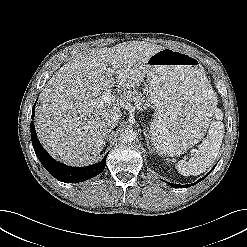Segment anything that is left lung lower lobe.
<instances>
[{"instance_id":"0a47b994","label":"left lung lower lobe","mask_w":247,"mask_h":247,"mask_svg":"<svg viewBox=\"0 0 247 247\" xmlns=\"http://www.w3.org/2000/svg\"><path fill=\"white\" fill-rule=\"evenodd\" d=\"M215 168V166L211 169V171L213 170ZM210 171V172H211ZM209 172V173H210ZM208 173V174H209ZM207 174V175H208ZM206 175V176H207ZM206 176H204L203 178H201L200 180H198L197 182H195V183H193V184H188V185H178V184H172V183H169L172 187H175V188H187V187H190V186H193V185H195L196 183H198V182H200L201 180H203Z\"/></svg>"}]
</instances>
